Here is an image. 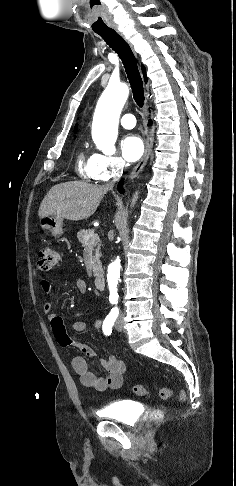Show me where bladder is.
<instances>
[{"label":"bladder","mask_w":236,"mask_h":486,"mask_svg":"<svg viewBox=\"0 0 236 486\" xmlns=\"http://www.w3.org/2000/svg\"><path fill=\"white\" fill-rule=\"evenodd\" d=\"M99 414L104 418L132 424L139 414V405L132 401L114 402L105 406Z\"/></svg>","instance_id":"1"}]
</instances>
